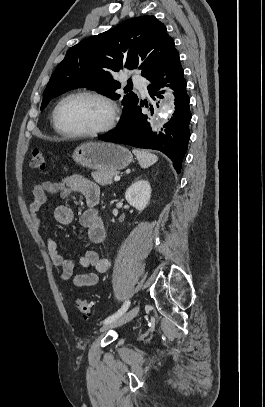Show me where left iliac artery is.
<instances>
[{"label":"left iliac artery","instance_id":"44dca946","mask_svg":"<svg viewBox=\"0 0 265 407\" xmlns=\"http://www.w3.org/2000/svg\"><path fill=\"white\" fill-rule=\"evenodd\" d=\"M129 305H130V301L127 300V301L123 304V306H122L116 313H114L113 315L107 317V318L104 320L103 323H104V324L110 323V322L114 321L115 319H117L118 317H120L121 315H123V314L128 310Z\"/></svg>","mask_w":265,"mask_h":407}]
</instances>
